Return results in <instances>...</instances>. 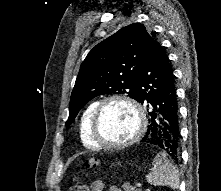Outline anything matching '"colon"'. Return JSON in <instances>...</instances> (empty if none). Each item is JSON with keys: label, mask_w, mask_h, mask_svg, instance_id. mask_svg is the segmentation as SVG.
<instances>
[{"label": "colon", "mask_w": 221, "mask_h": 191, "mask_svg": "<svg viewBox=\"0 0 221 191\" xmlns=\"http://www.w3.org/2000/svg\"><path fill=\"white\" fill-rule=\"evenodd\" d=\"M96 164L95 160H88L85 162V165L90 167ZM69 191H89L88 186L85 182L80 179H76L74 183L71 185Z\"/></svg>", "instance_id": "1"}]
</instances>
